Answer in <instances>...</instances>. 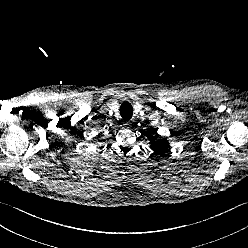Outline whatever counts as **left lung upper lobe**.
<instances>
[{
  "instance_id": "left-lung-upper-lobe-1",
  "label": "left lung upper lobe",
  "mask_w": 248,
  "mask_h": 248,
  "mask_svg": "<svg viewBox=\"0 0 248 248\" xmlns=\"http://www.w3.org/2000/svg\"><path fill=\"white\" fill-rule=\"evenodd\" d=\"M157 132V130H150L148 131L147 135L150 136V140H151V145L150 148L157 154H162L164 152L167 151V149L169 148V143L167 139H159L156 140V137L153 136V134H155Z\"/></svg>"
}]
</instances>
